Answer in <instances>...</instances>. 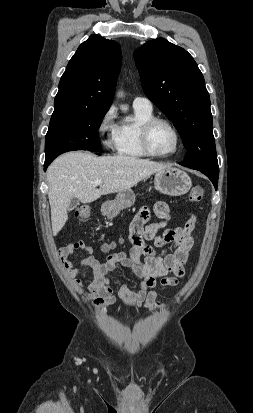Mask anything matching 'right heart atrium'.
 I'll list each match as a JSON object with an SVG mask.
<instances>
[{
    "instance_id": "right-heart-atrium-1",
    "label": "right heart atrium",
    "mask_w": 253,
    "mask_h": 413,
    "mask_svg": "<svg viewBox=\"0 0 253 413\" xmlns=\"http://www.w3.org/2000/svg\"><path fill=\"white\" fill-rule=\"evenodd\" d=\"M117 112L110 106L102 115L97 132L102 145L108 150H117L120 141V124L116 121Z\"/></svg>"
}]
</instances>
